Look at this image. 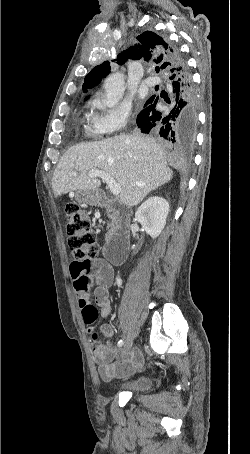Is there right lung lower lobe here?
<instances>
[{
	"mask_svg": "<svg viewBox=\"0 0 250 454\" xmlns=\"http://www.w3.org/2000/svg\"><path fill=\"white\" fill-rule=\"evenodd\" d=\"M172 66L164 76L168 94L152 96L137 116L136 122L143 133H157L178 146H191L197 128L196 94L187 63L179 49L169 42ZM159 100V107L156 104Z\"/></svg>",
	"mask_w": 250,
	"mask_h": 454,
	"instance_id": "obj_1",
	"label": "right lung lower lobe"
}]
</instances>
